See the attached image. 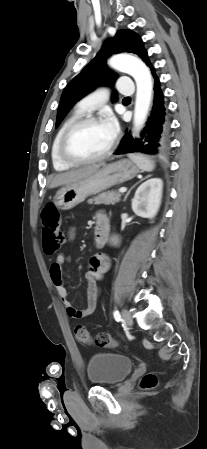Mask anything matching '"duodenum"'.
Returning <instances> with one entry per match:
<instances>
[{
    "instance_id": "duodenum-1",
    "label": "duodenum",
    "mask_w": 207,
    "mask_h": 449,
    "mask_svg": "<svg viewBox=\"0 0 207 449\" xmlns=\"http://www.w3.org/2000/svg\"><path fill=\"white\" fill-rule=\"evenodd\" d=\"M107 234L106 226L103 221L99 220L96 223L95 228V240L98 246H104L105 245V237Z\"/></svg>"
}]
</instances>
